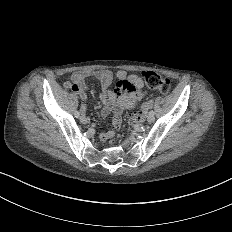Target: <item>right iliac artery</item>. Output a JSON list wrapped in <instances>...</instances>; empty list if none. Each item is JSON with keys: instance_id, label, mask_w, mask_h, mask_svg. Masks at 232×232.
<instances>
[{"instance_id": "right-iliac-artery-1", "label": "right iliac artery", "mask_w": 232, "mask_h": 232, "mask_svg": "<svg viewBox=\"0 0 232 232\" xmlns=\"http://www.w3.org/2000/svg\"><path fill=\"white\" fill-rule=\"evenodd\" d=\"M74 115H75V117L78 118L80 116V113L78 111H76Z\"/></svg>"}]
</instances>
